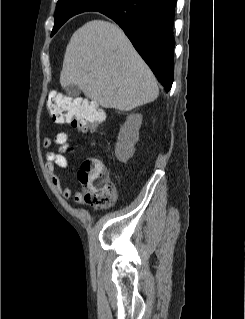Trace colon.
<instances>
[{"label": "colon", "instance_id": "obj_1", "mask_svg": "<svg viewBox=\"0 0 245 319\" xmlns=\"http://www.w3.org/2000/svg\"><path fill=\"white\" fill-rule=\"evenodd\" d=\"M48 111L58 122L70 123L79 132H88L99 127L105 119L103 111L95 104L50 93ZM78 179L85 200L94 207H111L116 199V186L107 176L102 161L96 157L86 158L80 167Z\"/></svg>", "mask_w": 245, "mask_h": 319}]
</instances>
